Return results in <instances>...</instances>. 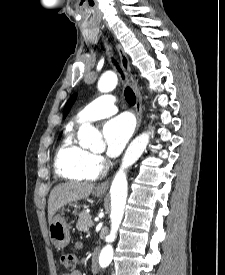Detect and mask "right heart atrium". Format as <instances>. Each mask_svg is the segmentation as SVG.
Here are the masks:
<instances>
[{
    "instance_id": "obj_1",
    "label": "right heart atrium",
    "mask_w": 225,
    "mask_h": 275,
    "mask_svg": "<svg viewBox=\"0 0 225 275\" xmlns=\"http://www.w3.org/2000/svg\"><path fill=\"white\" fill-rule=\"evenodd\" d=\"M93 162L97 168H99L105 163L103 157L98 154L93 155Z\"/></svg>"
}]
</instances>
